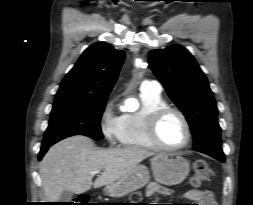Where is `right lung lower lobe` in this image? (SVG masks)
<instances>
[{"instance_id": "right-lung-lower-lobe-1", "label": "right lung lower lobe", "mask_w": 253, "mask_h": 205, "mask_svg": "<svg viewBox=\"0 0 253 205\" xmlns=\"http://www.w3.org/2000/svg\"><path fill=\"white\" fill-rule=\"evenodd\" d=\"M50 146L51 145L41 147V151L39 152V157H38L39 160L42 159V157L44 156V154L46 153V151L49 149Z\"/></svg>"}]
</instances>
